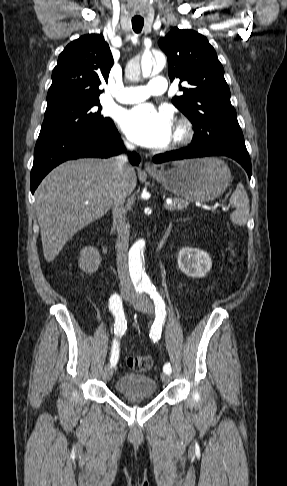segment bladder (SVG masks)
Segmentation results:
<instances>
[{"instance_id":"obj_1","label":"bladder","mask_w":287,"mask_h":486,"mask_svg":"<svg viewBox=\"0 0 287 486\" xmlns=\"http://www.w3.org/2000/svg\"><path fill=\"white\" fill-rule=\"evenodd\" d=\"M115 390L126 396L151 397L157 391L155 379L146 374L126 373L115 382Z\"/></svg>"}]
</instances>
